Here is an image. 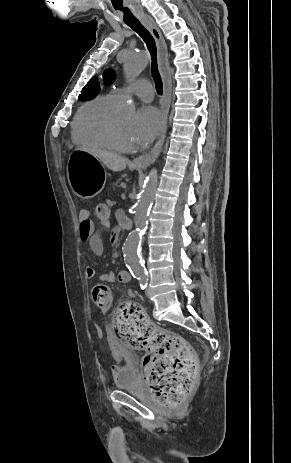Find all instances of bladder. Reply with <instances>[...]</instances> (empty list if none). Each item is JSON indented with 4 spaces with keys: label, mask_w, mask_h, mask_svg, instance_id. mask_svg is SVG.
Listing matches in <instances>:
<instances>
[{
    "label": "bladder",
    "mask_w": 291,
    "mask_h": 463,
    "mask_svg": "<svg viewBox=\"0 0 291 463\" xmlns=\"http://www.w3.org/2000/svg\"><path fill=\"white\" fill-rule=\"evenodd\" d=\"M117 367L115 383L119 389H133L138 386V375L134 357L127 352L116 353Z\"/></svg>",
    "instance_id": "bladder-1"
}]
</instances>
